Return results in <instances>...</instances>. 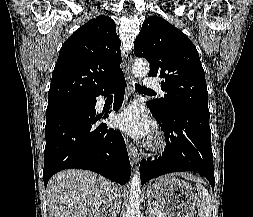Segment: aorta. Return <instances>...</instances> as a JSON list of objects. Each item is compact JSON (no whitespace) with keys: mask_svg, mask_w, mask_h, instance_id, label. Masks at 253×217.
<instances>
[{"mask_svg":"<svg viewBox=\"0 0 253 217\" xmlns=\"http://www.w3.org/2000/svg\"><path fill=\"white\" fill-rule=\"evenodd\" d=\"M149 70L150 65L144 59H137L132 66V72L134 74V77L139 79L145 77L148 74ZM129 185L130 190L128 196L126 217H140L141 179L139 167H137L132 174Z\"/></svg>","mask_w":253,"mask_h":217,"instance_id":"1","label":"aorta"}]
</instances>
